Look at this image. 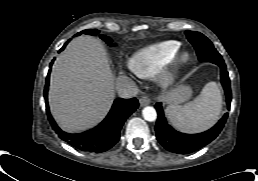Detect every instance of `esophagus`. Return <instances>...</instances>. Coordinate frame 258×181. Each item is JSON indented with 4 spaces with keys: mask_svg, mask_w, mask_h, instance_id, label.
Returning a JSON list of instances; mask_svg holds the SVG:
<instances>
[{
    "mask_svg": "<svg viewBox=\"0 0 258 181\" xmlns=\"http://www.w3.org/2000/svg\"><path fill=\"white\" fill-rule=\"evenodd\" d=\"M150 99L146 96V95H144V96H142L140 99H139V103H140V106H146V105H149L150 104Z\"/></svg>",
    "mask_w": 258,
    "mask_h": 181,
    "instance_id": "34e87169",
    "label": "esophagus"
}]
</instances>
